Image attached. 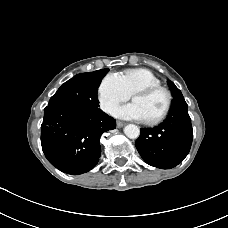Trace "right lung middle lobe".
Listing matches in <instances>:
<instances>
[{"instance_id":"right-lung-middle-lobe-1","label":"right lung middle lobe","mask_w":228,"mask_h":228,"mask_svg":"<svg viewBox=\"0 0 228 228\" xmlns=\"http://www.w3.org/2000/svg\"><path fill=\"white\" fill-rule=\"evenodd\" d=\"M109 69L77 74L65 82L49 100V105H63L78 110L99 107L98 87Z\"/></svg>"}]
</instances>
